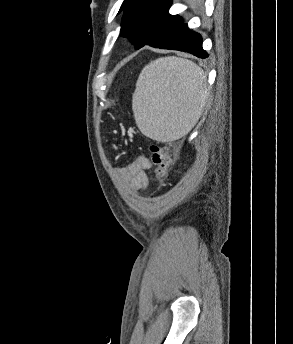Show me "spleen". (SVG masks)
<instances>
[{
	"label": "spleen",
	"instance_id": "3e777b00",
	"mask_svg": "<svg viewBox=\"0 0 293 344\" xmlns=\"http://www.w3.org/2000/svg\"><path fill=\"white\" fill-rule=\"evenodd\" d=\"M205 78L198 65L183 58L162 57L146 65L132 100L140 131L163 142L187 134L199 120L208 96Z\"/></svg>",
	"mask_w": 293,
	"mask_h": 344
}]
</instances>
